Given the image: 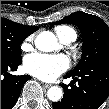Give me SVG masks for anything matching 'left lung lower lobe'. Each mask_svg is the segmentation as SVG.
<instances>
[{
  "mask_svg": "<svg viewBox=\"0 0 109 109\" xmlns=\"http://www.w3.org/2000/svg\"><path fill=\"white\" fill-rule=\"evenodd\" d=\"M67 77L73 78L71 88L61 85L64 96L60 102L52 103L54 109H98L109 96V61L93 63Z\"/></svg>",
  "mask_w": 109,
  "mask_h": 109,
  "instance_id": "1",
  "label": "left lung lower lobe"
}]
</instances>
